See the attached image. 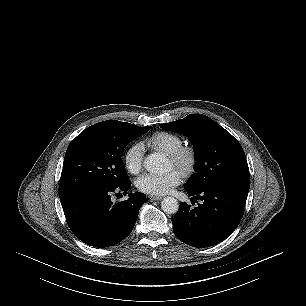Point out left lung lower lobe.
Segmentation results:
<instances>
[{"mask_svg": "<svg viewBox=\"0 0 306 306\" xmlns=\"http://www.w3.org/2000/svg\"><path fill=\"white\" fill-rule=\"evenodd\" d=\"M249 187V183L227 181L187 190L192 199H201L203 203L193 209L186 203L180 204L172 219L174 234L198 248L220 243L240 223Z\"/></svg>", "mask_w": 306, "mask_h": 306, "instance_id": "0a47b994", "label": "left lung lower lobe"}]
</instances>
